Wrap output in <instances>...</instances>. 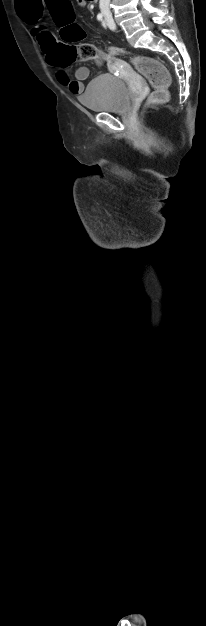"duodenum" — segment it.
Listing matches in <instances>:
<instances>
[{
    "label": "duodenum",
    "instance_id": "410a0bca",
    "mask_svg": "<svg viewBox=\"0 0 206 626\" xmlns=\"http://www.w3.org/2000/svg\"><path fill=\"white\" fill-rule=\"evenodd\" d=\"M97 1H98V0H91V2H94V3H95V2H97Z\"/></svg>",
    "mask_w": 206,
    "mask_h": 626
}]
</instances>
